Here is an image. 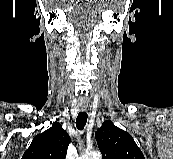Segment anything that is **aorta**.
Returning a JSON list of instances; mask_svg holds the SVG:
<instances>
[{"label":"aorta","instance_id":"762f6f07","mask_svg":"<svg viewBox=\"0 0 173 159\" xmlns=\"http://www.w3.org/2000/svg\"><path fill=\"white\" fill-rule=\"evenodd\" d=\"M80 159H101V156L99 152L91 151L83 154Z\"/></svg>","mask_w":173,"mask_h":159}]
</instances>
